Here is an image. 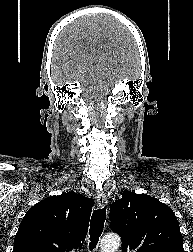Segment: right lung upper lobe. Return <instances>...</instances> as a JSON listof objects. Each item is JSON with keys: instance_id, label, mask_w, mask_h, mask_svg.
Returning a JSON list of instances; mask_svg holds the SVG:
<instances>
[{"instance_id": "obj_1", "label": "right lung upper lobe", "mask_w": 193, "mask_h": 252, "mask_svg": "<svg viewBox=\"0 0 193 252\" xmlns=\"http://www.w3.org/2000/svg\"><path fill=\"white\" fill-rule=\"evenodd\" d=\"M94 200L67 192L35 204L23 217L14 252H74L87 234Z\"/></svg>"}]
</instances>
